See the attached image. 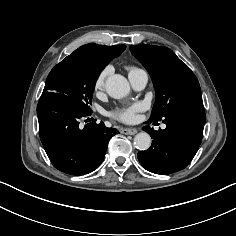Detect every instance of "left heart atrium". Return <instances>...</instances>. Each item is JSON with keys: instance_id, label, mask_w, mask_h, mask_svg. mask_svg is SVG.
<instances>
[{"instance_id": "left-heart-atrium-1", "label": "left heart atrium", "mask_w": 236, "mask_h": 236, "mask_svg": "<svg viewBox=\"0 0 236 236\" xmlns=\"http://www.w3.org/2000/svg\"><path fill=\"white\" fill-rule=\"evenodd\" d=\"M144 109L142 103H134L129 106L115 108L111 116L126 123H131L136 120L137 114Z\"/></svg>"}]
</instances>
